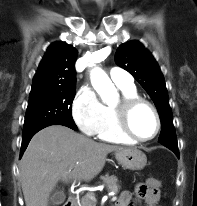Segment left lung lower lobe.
Segmentation results:
<instances>
[{
    "instance_id": "0a47b994",
    "label": "left lung lower lobe",
    "mask_w": 197,
    "mask_h": 206,
    "mask_svg": "<svg viewBox=\"0 0 197 206\" xmlns=\"http://www.w3.org/2000/svg\"><path fill=\"white\" fill-rule=\"evenodd\" d=\"M162 145L169 148L170 150H172L177 155V157L179 158V150H178V145L177 144L163 143Z\"/></svg>"
}]
</instances>
